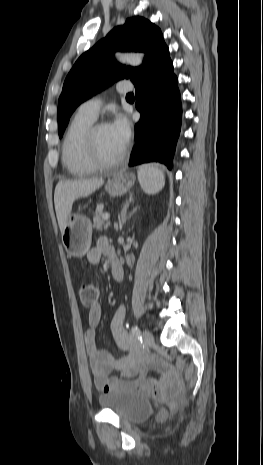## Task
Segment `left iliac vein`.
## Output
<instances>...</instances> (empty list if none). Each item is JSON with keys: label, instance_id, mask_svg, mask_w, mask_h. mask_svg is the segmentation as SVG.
<instances>
[{"label": "left iliac vein", "instance_id": "1", "mask_svg": "<svg viewBox=\"0 0 263 465\" xmlns=\"http://www.w3.org/2000/svg\"><path fill=\"white\" fill-rule=\"evenodd\" d=\"M143 340L147 346H151L154 343L153 334L149 330L142 332Z\"/></svg>", "mask_w": 263, "mask_h": 465}]
</instances>
